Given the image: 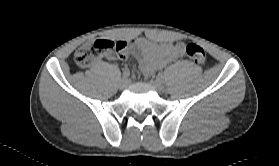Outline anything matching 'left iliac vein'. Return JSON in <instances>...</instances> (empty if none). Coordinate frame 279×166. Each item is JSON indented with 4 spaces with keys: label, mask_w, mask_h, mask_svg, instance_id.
I'll use <instances>...</instances> for the list:
<instances>
[{
    "label": "left iliac vein",
    "mask_w": 279,
    "mask_h": 166,
    "mask_svg": "<svg viewBox=\"0 0 279 166\" xmlns=\"http://www.w3.org/2000/svg\"><path fill=\"white\" fill-rule=\"evenodd\" d=\"M151 84L159 93L165 92V86L161 80H159V79L152 80Z\"/></svg>",
    "instance_id": "1"
}]
</instances>
